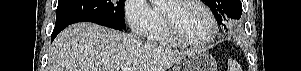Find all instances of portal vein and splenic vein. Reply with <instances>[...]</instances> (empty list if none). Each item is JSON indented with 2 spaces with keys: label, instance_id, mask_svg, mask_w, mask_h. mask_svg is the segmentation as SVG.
Returning <instances> with one entry per match:
<instances>
[{
  "label": "portal vein and splenic vein",
  "instance_id": "1",
  "mask_svg": "<svg viewBox=\"0 0 301 71\" xmlns=\"http://www.w3.org/2000/svg\"><path fill=\"white\" fill-rule=\"evenodd\" d=\"M128 68H129L128 66H122V67H121V71H127Z\"/></svg>",
  "mask_w": 301,
  "mask_h": 71
}]
</instances>
